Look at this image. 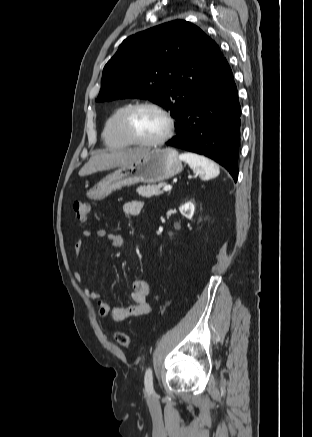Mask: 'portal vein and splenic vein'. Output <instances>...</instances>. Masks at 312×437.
Wrapping results in <instances>:
<instances>
[{
  "label": "portal vein and splenic vein",
  "instance_id": "1",
  "mask_svg": "<svg viewBox=\"0 0 312 437\" xmlns=\"http://www.w3.org/2000/svg\"><path fill=\"white\" fill-rule=\"evenodd\" d=\"M171 188H172V186L166 185L163 187V191H169V190H171Z\"/></svg>",
  "mask_w": 312,
  "mask_h": 437
}]
</instances>
